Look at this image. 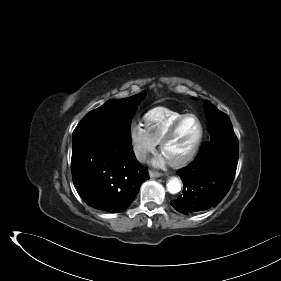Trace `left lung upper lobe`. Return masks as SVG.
<instances>
[{"instance_id": "1", "label": "left lung upper lobe", "mask_w": 281, "mask_h": 281, "mask_svg": "<svg viewBox=\"0 0 281 281\" xmlns=\"http://www.w3.org/2000/svg\"><path fill=\"white\" fill-rule=\"evenodd\" d=\"M208 130L210 131V144L213 147L238 145L237 137L229 117L218 110L210 101L206 102Z\"/></svg>"}]
</instances>
